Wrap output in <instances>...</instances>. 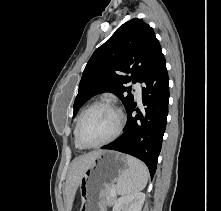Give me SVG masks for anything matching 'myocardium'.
<instances>
[{"instance_id": "1", "label": "myocardium", "mask_w": 221, "mask_h": 211, "mask_svg": "<svg viewBox=\"0 0 221 211\" xmlns=\"http://www.w3.org/2000/svg\"><path fill=\"white\" fill-rule=\"evenodd\" d=\"M99 106L108 107V108H110L111 110H113L116 113L117 118H118L116 129L113 132V134L110 137H108L107 139H105V140H103L101 142L95 143V144H86L82 140V138H81V128H82L83 121H84L86 115L92 109H94L96 107H99ZM124 122H125L124 114H123L122 110L118 106H116L114 103H112V102H110L108 100L96 101V102L92 103L90 106H88L81 113V115L79 117V120H78V123H77L76 139H77L78 143L80 144V146H82L83 148H97V147H101V146L107 145V144L113 142L115 139H117L119 137V135L122 132V129H123V126H124Z\"/></svg>"}]
</instances>
